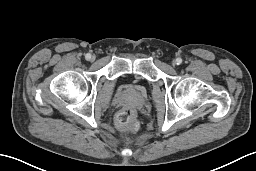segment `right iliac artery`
Wrapping results in <instances>:
<instances>
[{
	"label": "right iliac artery",
	"mask_w": 256,
	"mask_h": 171,
	"mask_svg": "<svg viewBox=\"0 0 256 171\" xmlns=\"http://www.w3.org/2000/svg\"><path fill=\"white\" fill-rule=\"evenodd\" d=\"M85 58H86L87 60H89V59L91 58V55L88 53V54L85 55Z\"/></svg>",
	"instance_id": "right-iliac-artery-1"
}]
</instances>
